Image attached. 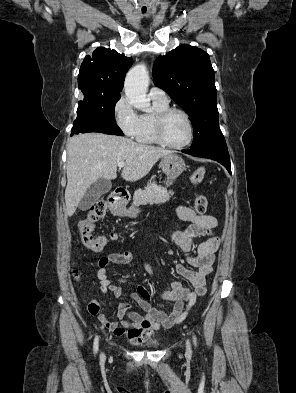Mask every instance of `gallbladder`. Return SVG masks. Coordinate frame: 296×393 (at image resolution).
I'll return each mask as SVG.
<instances>
[{
	"instance_id": "obj_1",
	"label": "gallbladder",
	"mask_w": 296,
	"mask_h": 393,
	"mask_svg": "<svg viewBox=\"0 0 296 393\" xmlns=\"http://www.w3.org/2000/svg\"><path fill=\"white\" fill-rule=\"evenodd\" d=\"M111 188L112 183L110 180L105 178L98 179L87 189L79 203V209L82 211L88 210L95 201H97L103 194L108 193Z\"/></svg>"
}]
</instances>
